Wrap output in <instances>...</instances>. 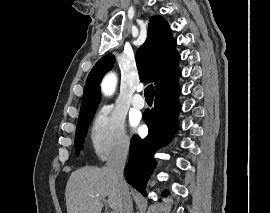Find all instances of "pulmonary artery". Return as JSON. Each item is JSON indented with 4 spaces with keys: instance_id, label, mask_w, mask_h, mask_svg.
Instances as JSON below:
<instances>
[{
    "instance_id": "obj_1",
    "label": "pulmonary artery",
    "mask_w": 270,
    "mask_h": 213,
    "mask_svg": "<svg viewBox=\"0 0 270 213\" xmlns=\"http://www.w3.org/2000/svg\"><path fill=\"white\" fill-rule=\"evenodd\" d=\"M140 92H141V88L138 87L132 99V105L137 109H142L145 106V100L143 96L140 94Z\"/></svg>"
}]
</instances>
